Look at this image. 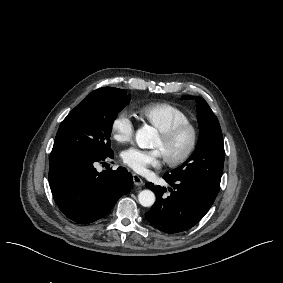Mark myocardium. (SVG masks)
Returning <instances> with one entry per match:
<instances>
[{"label":"myocardium","mask_w":283,"mask_h":283,"mask_svg":"<svg viewBox=\"0 0 283 283\" xmlns=\"http://www.w3.org/2000/svg\"><path fill=\"white\" fill-rule=\"evenodd\" d=\"M189 132L190 143L186 150L177 157H163L169 167H179L187 163L196 152L200 142V131L192 122L177 123L163 133H160L162 142L169 144L175 141L182 133Z\"/></svg>","instance_id":"f54148a6"}]
</instances>
